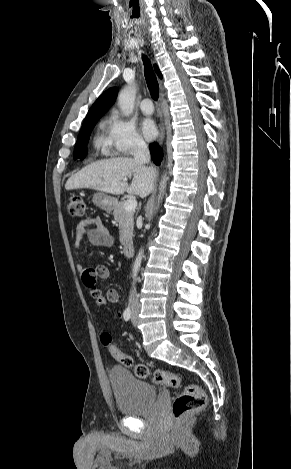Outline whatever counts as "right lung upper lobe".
<instances>
[{
    "label": "right lung upper lobe",
    "mask_w": 291,
    "mask_h": 469,
    "mask_svg": "<svg viewBox=\"0 0 291 469\" xmlns=\"http://www.w3.org/2000/svg\"><path fill=\"white\" fill-rule=\"evenodd\" d=\"M154 68L158 76L162 78L158 67L155 65ZM117 93L118 91L114 87L102 93L89 109L85 119L100 118L103 113L106 112L114 104L117 97Z\"/></svg>",
    "instance_id": "1"
}]
</instances>
